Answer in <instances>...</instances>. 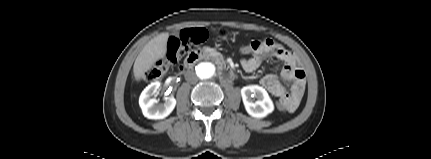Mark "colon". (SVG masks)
<instances>
[{"mask_svg":"<svg viewBox=\"0 0 431 159\" xmlns=\"http://www.w3.org/2000/svg\"><path fill=\"white\" fill-rule=\"evenodd\" d=\"M207 38V32L204 29H193L183 31L180 36H172L167 42V52L165 58L158 61L155 66L148 69L143 74V80L146 82H154L159 79L168 67L175 64L180 58H182L188 51L190 45L198 44L205 41ZM253 50L251 45H239L238 52L240 54H249ZM276 109L285 114L288 110L283 108L282 100L274 101Z\"/></svg>","mask_w":431,"mask_h":159,"instance_id":"obj_1","label":"colon"}]
</instances>
